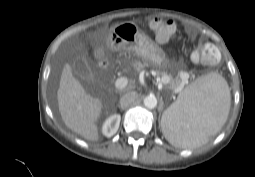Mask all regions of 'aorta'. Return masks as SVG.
I'll return each instance as SVG.
<instances>
[{
  "instance_id": "obj_1",
  "label": "aorta",
  "mask_w": 255,
  "mask_h": 177,
  "mask_svg": "<svg viewBox=\"0 0 255 177\" xmlns=\"http://www.w3.org/2000/svg\"><path fill=\"white\" fill-rule=\"evenodd\" d=\"M143 103H144V106L147 107L148 109H154L157 105V99L154 95H150L145 97Z\"/></svg>"
}]
</instances>
